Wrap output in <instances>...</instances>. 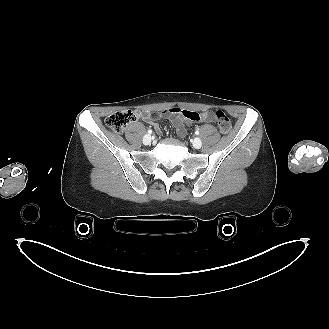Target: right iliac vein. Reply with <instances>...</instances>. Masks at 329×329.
I'll return each instance as SVG.
<instances>
[{
    "label": "right iliac vein",
    "mask_w": 329,
    "mask_h": 329,
    "mask_svg": "<svg viewBox=\"0 0 329 329\" xmlns=\"http://www.w3.org/2000/svg\"><path fill=\"white\" fill-rule=\"evenodd\" d=\"M143 144L144 145H148V144H150L151 143V135H149V134H146L144 137H143Z\"/></svg>",
    "instance_id": "obj_1"
}]
</instances>
